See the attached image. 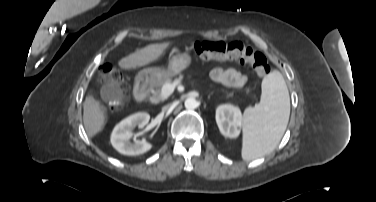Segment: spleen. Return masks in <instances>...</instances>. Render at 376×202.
<instances>
[{
  "label": "spleen",
  "instance_id": "obj_1",
  "mask_svg": "<svg viewBox=\"0 0 376 202\" xmlns=\"http://www.w3.org/2000/svg\"><path fill=\"white\" fill-rule=\"evenodd\" d=\"M290 115V98L282 74L274 70L262 81L261 101L247 108L243 118L242 158L264 156L280 142Z\"/></svg>",
  "mask_w": 376,
  "mask_h": 202
}]
</instances>
